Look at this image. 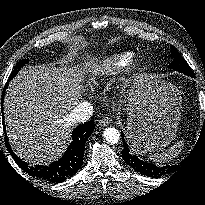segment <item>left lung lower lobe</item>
Listing matches in <instances>:
<instances>
[{"label": "left lung lower lobe", "instance_id": "0a47b994", "mask_svg": "<svg viewBox=\"0 0 205 205\" xmlns=\"http://www.w3.org/2000/svg\"><path fill=\"white\" fill-rule=\"evenodd\" d=\"M192 77H195V75H193ZM121 134L123 139V132H121ZM123 144H124V149L122 150L123 159L127 165L134 168L137 172L143 175H147L149 177H158L170 172V168L172 167L164 166L160 168V167H156L151 163L142 161L138 159L136 155L131 154L125 140H123Z\"/></svg>", "mask_w": 205, "mask_h": 205}]
</instances>
